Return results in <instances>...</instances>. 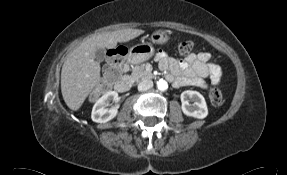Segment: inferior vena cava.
Instances as JSON below:
<instances>
[{
    "instance_id": "1",
    "label": "inferior vena cava",
    "mask_w": 287,
    "mask_h": 175,
    "mask_svg": "<svg viewBox=\"0 0 287 175\" xmlns=\"http://www.w3.org/2000/svg\"><path fill=\"white\" fill-rule=\"evenodd\" d=\"M152 87H153V81L150 79L143 80L138 84L139 91H146Z\"/></svg>"
}]
</instances>
